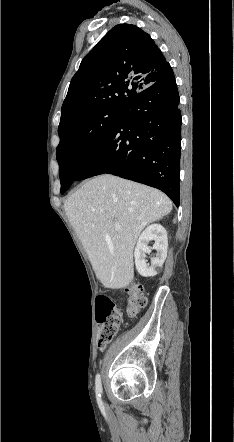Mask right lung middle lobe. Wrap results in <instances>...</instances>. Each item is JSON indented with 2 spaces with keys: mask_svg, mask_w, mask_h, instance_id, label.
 Wrapping results in <instances>:
<instances>
[{
  "mask_svg": "<svg viewBox=\"0 0 234 442\" xmlns=\"http://www.w3.org/2000/svg\"><path fill=\"white\" fill-rule=\"evenodd\" d=\"M120 111L121 107H112L92 112L73 122L59 135L56 157L62 194L73 182L74 166L106 138Z\"/></svg>",
  "mask_w": 234,
  "mask_h": 442,
  "instance_id": "dd1d6c3e",
  "label": "right lung middle lobe"
}]
</instances>
